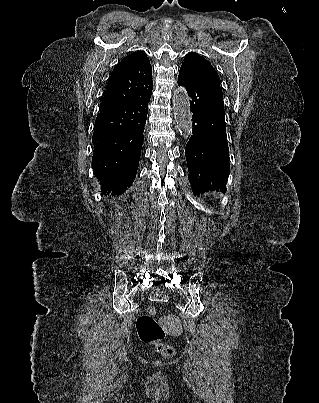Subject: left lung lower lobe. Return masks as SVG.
<instances>
[{
    "label": "left lung lower lobe",
    "instance_id": "obj_1",
    "mask_svg": "<svg viewBox=\"0 0 319 403\" xmlns=\"http://www.w3.org/2000/svg\"><path fill=\"white\" fill-rule=\"evenodd\" d=\"M178 84L188 92L193 113V135L185 149L193 193L226 191L230 165L222 89L182 68Z\"/></svg>",
    "mask_w": 319,
    "mask_h": 403
}]
</instances>
